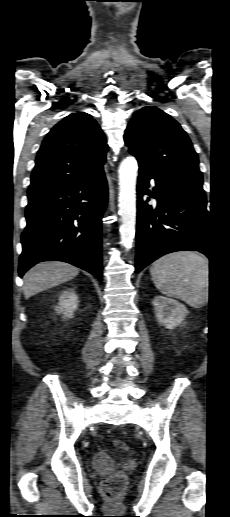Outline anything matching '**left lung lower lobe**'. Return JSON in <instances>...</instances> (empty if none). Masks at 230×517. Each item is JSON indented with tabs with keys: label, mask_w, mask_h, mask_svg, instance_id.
<instances>
[{
	"label": "left lung lower lobe",
	"mask_w": 230,
	"mask_h": 517,
	"mask_svg": "<svg viewBox=\"0 0 230 517\" xmlns=\"http://www.w3.org/2000/svg\"><path fill=\"white\" fill-rule=\"evenodd\" d=\"M155 180L153 191L147 190ZM157 199L155 209L143 201ZM136 273L175 251H199L211 259L208 211L202 184L180 182L139 167L137 184Z\"/></svg>",
	"instance_id": "obj_1"
}]
</instances>
